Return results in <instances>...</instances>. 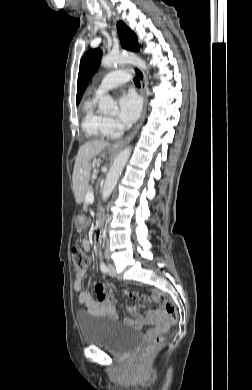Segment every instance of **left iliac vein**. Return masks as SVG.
Masks as SVG:
<instances>
[{
	"label": "left iliac vein",
	"mask_w": 252,
	"mask_h": 390,
	"mask_svg": "<svg viewBox=\"0 0 252 390\" xmlns=\"http://www.w3.org/2000/svg\"><path fill=\"white\" fill-rule=\"evenodd\" d=\"M108 269H109L108 271L109 275L112 277H116L117 273H116L115 266L113 264H109Z\"/></svg>",
	"instance_id": "4c4485c4"
}]
</instances>
